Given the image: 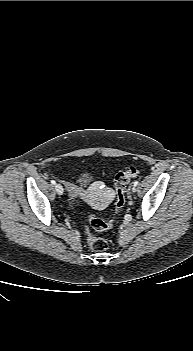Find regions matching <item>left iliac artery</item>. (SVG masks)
Returning a JSON list of instances; mask_svg holds the SVG:
<instances>
[{"label":"left iliac artery","mask_w":193,"mask_h":351,"mask_svg":"<svg viewBox=\"0 0 193 351\" xmlns=\"http://www.w3.org/2000/svg\"><path fill=\"white\" fill-rule=\"evenodd\" d=\"M134 186H137L138 184H139V181L138 180H136V181H134Z\"/></svg>","instance_id":"44dca946"}]
</instances>
